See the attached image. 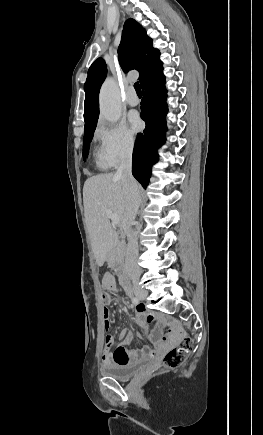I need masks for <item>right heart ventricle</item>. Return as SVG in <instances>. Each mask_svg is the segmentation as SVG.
Wrapping results in <instances>:
<instances>
[{
    "mask_svg": "<svg viewBox=\"0 0 263 435\" xmlns=\"http://www.w3.org/2000/svg\"><path fill=\"white\" fill-rule=\"evenodd\" d=\"M96 157L97 166L100 169H107L110 165L105 161L101 149L96 148L94 151Z\"/></svg>",
    "mask_w": 263,
    "mask_h": 435,
    "instance_id": "e07e8e85",
    "label": "right heart ventricle"
}]
</instances>
